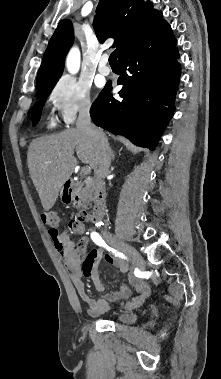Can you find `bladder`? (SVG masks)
<instances>
[{"label":"bladder","instance_id":"bladder-1","mask_svg":"<svg viewBox=\"0 0 221 379\" xmlns=\"http://www.w3.org/2000/svg\"><path fill=\"white\" fill-rule=\"evenodd\" d=\"M113 319L122 324H131L136 320V315L131 312H123L116 314Z\"/></svg>","mask_w":221,"mask_h":379}]
</instances>
